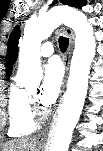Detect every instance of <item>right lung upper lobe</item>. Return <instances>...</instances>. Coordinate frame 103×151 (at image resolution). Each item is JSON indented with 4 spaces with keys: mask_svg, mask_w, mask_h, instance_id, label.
Wrapping results in <instances>:
<instances>
[{
    "mask_svg": "<svg viewBox=\"0 0 103 151\" xmlns=\"http://www.w3.org/2000/svg\"><path fill=\"white\" fill-rule=\"evenodd\" d=\"M20 38V28L16 26L8 40V51L6 54V77L9 78L12 72L13 63L18 56V39Z\"/></svg>",
    "mask_w": 103,
    "mask_h": 151,
    "instance_id": "obj_1",
    "label": "right lung upper lobe"
}]
</instances>
